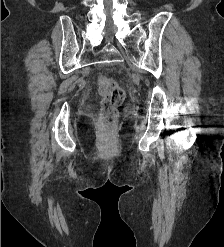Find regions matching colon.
<instances>
[{"label": "colon", "mask_w": 224, "mask_h": 247, "mask_svg": "<svg viewBox=\"0 0 224 247\" xmlns=\"http://www.w3.org/2000/svg\"><path fill=\"white\" fill-rule=\"evenodd\" d=\"M99 93L102 96L101 120L105 125H112L118 117V107L122 103L125 93L112 78L99 76Z\"/></svg>", "instance_id": "5ec220e1"}]
</instances>
